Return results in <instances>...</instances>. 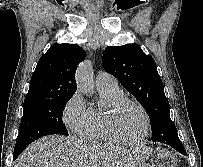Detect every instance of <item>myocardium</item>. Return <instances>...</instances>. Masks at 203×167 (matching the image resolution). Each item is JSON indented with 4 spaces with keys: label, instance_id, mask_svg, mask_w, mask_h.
<instances>
[{
    "label": "myocardium",
    "instance_id": "1",
    "mask_svg": "<svg viewBox=\"0 0 203 167\" xmlns=\"http://www.w3.org/2000/svg\"><path fill=\"white\" fill-rule=\"evenodd\" d=\"M124 104H132L136 106L142 113L143 118H144V129L142 134L134 140H127L122 138L121 136L118 135V133L115 130V117L120 109V107ZM103 126L104 130L107 133V135L116 143L124 144V145H137L140 144L145 140L149 133V128H150V116L145 109V107L139 103L138 101L129 98L125 95H119L113 99L111 102L108 110L106 111L104 118H103Z\"/></svg>",
    "mask_w": 203,
    "mask_h": 167
}]
</instances>
